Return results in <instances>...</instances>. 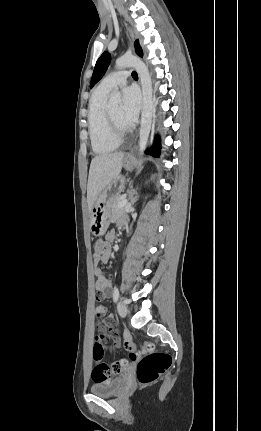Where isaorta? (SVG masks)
I'll list each match as a JSON object with an SVG mask.
<instances>
[{
    "label": "aorta",
    "instance_id": "762f6f07",
    "mask_svg": "<svg viewBox=\"0 0 261 431\" xmlns=\"http://www.w3.org/2000/svg\"><path fill=\"white\" fill-rule=\"evenodd\" d=\"M115 67L123 69L133 67L141 80L142 86V114H141V127L139 136V153L140 156L144 154L146 144L148 141L152 117H153V96H152V81L150 73L146 64L139 58L129 55H124L116 60ZM121 102V93L117 90L111 92L109 96V104L116 106Z\"/></svg>",
    "mask_w": 261,
    "mask_h": 431
}]
</instances>
